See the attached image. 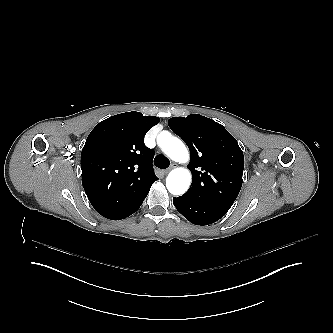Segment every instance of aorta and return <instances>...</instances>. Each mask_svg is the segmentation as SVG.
<instances>
[{
    "label": "aorta",
    "mask_w": 333,
    "mask_h": 333,
    "mask_svg": "<svg viewBox=\"0 0 333 333\" xmlns=\"http://www.w3.org/2000/svg\"><path fill=\"white\" fill-rule=\"evenodd\" d=\"M163 151L173 161L187 163L189 151L178 138H171L164 146ZM191 184V173L186 168H178L175 173L170 172L166 178V186L174 195L184 194Z\"/></svg>",
    "instance_id": "1"
}]
</instances>
